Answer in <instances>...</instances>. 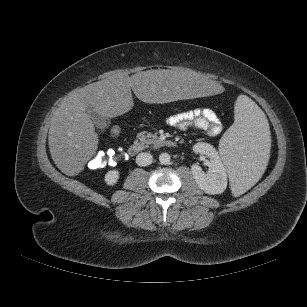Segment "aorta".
<instances>
[{"label": "aorta", "instance_id": "aorta-1", "mask_svg": "<svg viewBox=\"0 0 307 307\" xmlns=\"http://www.w3.org/2000/svg\"><path fill=\"white\" fill-rule=\"evenodd\" d=\"M170 160L171 156L166 152L159 155V161L161 164H169Z\"/></svg>", "mask_w": 307, "mask_h": 307}]
</instances>
